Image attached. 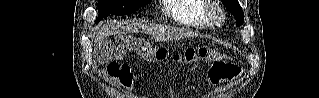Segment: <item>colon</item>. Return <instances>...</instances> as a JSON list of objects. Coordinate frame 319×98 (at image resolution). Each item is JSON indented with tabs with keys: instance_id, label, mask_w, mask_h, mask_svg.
Listing matches in <instances>:
<instances>
[{
	"instance_id": "colon-1",
	"label": "colon",
	"mask_w": 319,
	"mask_h": 98,
	"mask_svg": "<svg viewBox=\"0 0 319 98\" xmlns=\"http://www.w3.org/2000/svg\"><path fill=\"white\" fill-rule=\"evenodd\" d=\"M135 50L145 61L153 64H162L168 59V52L164 48H156L144 40H134L130 37H119L117 39V54L123 56L126 51ZM218 52L208 47L190 48L181 53H174L172 61L176 63H193L197 61H212L208 71V80L212 84L229 82L236 79L241 69L229 62L218 60ZM106 75L118 80L123 86L130 87L133 77L128 67L118 63H111L105 70Z\"/></svg>"
}]
</instances>
